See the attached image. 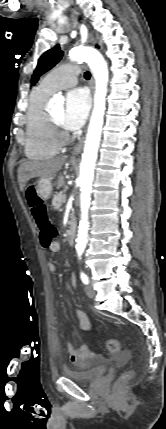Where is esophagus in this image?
Here are the masks:
<instances>
[{
  "instance_id": "1",
  "label": "esophagus",
  "mask_w": 166,
  "mask_h": 429,
  "mask_svg": "<svg viewBox=\"0 0 166 429\" xmlns=\"http://www.w3.org/2000/svg\"><path fill=\"white\" fill-rule=\"evenodd\" d=\"M72 18H73L74 20H77V13L73 12V13H72ZM91 88H92V91H93V79H92V81H91ZM84 139H85V137L83 136V137L78 141V143L75 145V147H74V149H73V152H72V158H75V157H76V156L81 152L82 147H83V144H84Z\"/></svg>"
}]
</instances>
